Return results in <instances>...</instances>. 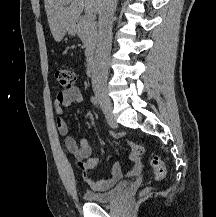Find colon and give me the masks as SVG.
I'll list each match as a JSON object with an SVG mask.
<instances>
[{"mask_svg": "<svg viewBox=\"0 0 216 217\" xmlns=\"http://www.w3.org/2000/svg\"><path fill=\"white\" fill-rule=\"evenodd\" d=\"M55 77L59 85L66 90L72 89L76 82L75 73L72 70L66 68H58L55 72ZM113 136L117 139L123 138V135L120 133H113ZM129 146L131 148L132 158L139 159L143 155L144 147L140 143L129 142ZM151 166L153 168L154 177L156 180H162L165 178L166 168L160 156H153L151 159ZM79 167L82 170L84 169V166L81 162H79ZM149 191L150 190L148 188L143 190L142 195H147Z\"/></svg>", "mask_w": 216, "mask_h": 217, "instance_id": "obj_1", "label": "colon"}]
</instances>
